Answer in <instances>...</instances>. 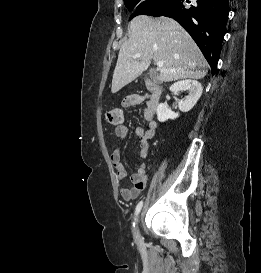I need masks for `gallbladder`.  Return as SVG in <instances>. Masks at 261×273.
Segmentation results:
<instances>
[{
    "label": "gallbladder",
    "mask_w": 261,
    "mask_h": 273,
    "mask_svg": "<svg viewBox=\"0 0 261 273\" xmlns=\"http://www.w3.org/2000/svg\"><path fill=\"white\" fill-rule=\"evenodd\" d=\"M149 77L153 80V81H158L157 79V75H156V71L155 70H150L148 73Z\"/></svg>",
    "instance_id": "gallbladder-1"
}]
</instances>
